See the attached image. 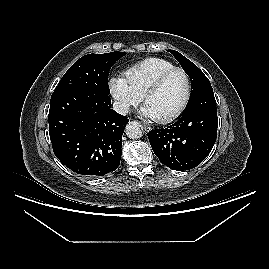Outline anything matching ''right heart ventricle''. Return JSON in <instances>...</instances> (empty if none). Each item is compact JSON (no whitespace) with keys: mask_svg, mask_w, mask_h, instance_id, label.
I'll use <instances>...</instances> for the list:
<instances>
[{"mask_svg":"<svg viewBox=\"0 0 269 269\" xmlns=\"http://www.w3.org/2000/svg\"><path fill=\"white\" fill-rule=\"evenodd\" d=\"M175 67L173 63L162 58H147L129 67L125 79L130 88L139 96L145 88L161 73Z\"/></svg>","mask_w":269,"mask_h":269,"instance_id":"obj_1","label":"right heart ventricle"}]
</instances>
